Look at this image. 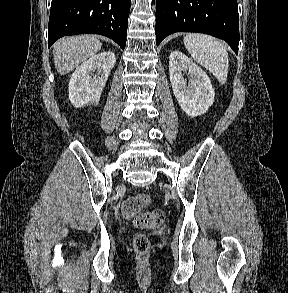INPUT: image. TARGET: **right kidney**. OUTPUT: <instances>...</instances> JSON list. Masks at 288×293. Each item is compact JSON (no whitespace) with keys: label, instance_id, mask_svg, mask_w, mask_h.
<instances>
[{"label":"right kidney","instance_id":"ca27d5eb","mask_svg":"<svg viewBox=\"0 0 288 293\" xmlns=\"http://www.w3.org/2000/svg\"><path fill=\"white\" fill-rule=\"evenodd\" d=\"M115 63L114 53L106 51L92 56L74 71L69 82V99L76 108L98 104Z\"/></svg>","mask_w":288,"mask_h":293}]
</instances>
